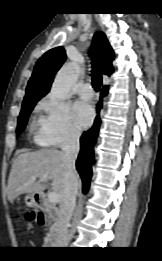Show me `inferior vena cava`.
I'll list each match as a JSON object with an SVG mask.
<instances>
[{"mask_svg": "<svg viewBox=\"0 0 162 261\" xmlns=\"http://www.w3.org/2000/svg\"><path fill=\"white\" fill-rule=\"evenodd\" d=\"M80 132H73L62 145L66 163V182L58 211L59 247H67L70 239L68 227L76 203L78 185L76 181L75 161L80 150Z\"/></svg>", "mask_w": 162, "mask_h": 261, "instance_id": "obj_1", "label": "inferior vena cava"}]
</instances>
